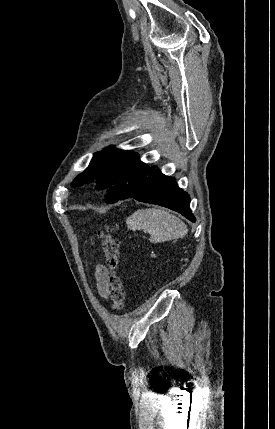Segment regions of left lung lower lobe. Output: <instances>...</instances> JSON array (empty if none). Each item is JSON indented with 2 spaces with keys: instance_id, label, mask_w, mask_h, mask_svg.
Here are the masks:
<instances>
[{
  "instance_id": "0a47b994",
  "label": "left lung lower lobe",
  "mask_w": 275,
  "mask_h": 429,
  "mask_svg": "<svg viewBox=\"0 0 275 429\" xmlns=\"http://www.w3.org/2000/svg\"><path fill=\"white\" fill-rule=\"evenodd\" d=\"M107 198L124 200L134 198L137 201L157 204L178 211L191 221L195 217L190 210V198L180 189L174 177L165 176L156 166L149 167L120 195V187H110Z\"/></svg>"
}]
</instances>
